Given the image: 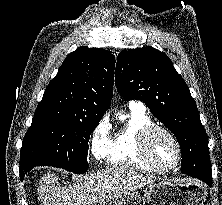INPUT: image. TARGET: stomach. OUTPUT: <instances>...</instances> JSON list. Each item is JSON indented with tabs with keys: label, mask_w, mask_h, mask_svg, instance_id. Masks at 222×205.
Returning <instances> with one entry per match:
<instances>
[{
	"label": "stomach",
	"mask_w": 222,
	"mask_h": 205,
	"mask_svg": "<svg viewBox=\"0 0 222 205\" xmlns=\"http://www.w3.org/2000/svg\"><path fill=\"white\" fill-rule=\"evenodd\" d=\"M205 188L191 181L171 182L160 180L151 184L141 200L137 191L113 200V205H204Z\"/></svg>",
	"instance_id": "1"
}]
</instances>
